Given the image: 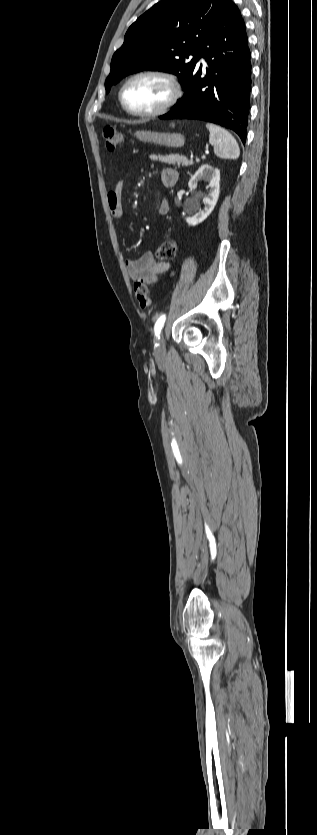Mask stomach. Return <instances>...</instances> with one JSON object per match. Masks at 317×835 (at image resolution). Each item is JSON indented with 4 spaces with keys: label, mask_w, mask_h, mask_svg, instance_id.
I'll use <instances>...</instances> for the list:
<instances>
[{
    "label": "stomach",
    "mask_w": 317,
    "mask_h": 835,
    "mask_svg": "<svg viewBox=\"0 0 317 835\" xmlns=\"http://www.w3.org/2000/svg\"><path fill=\"white\" fill-rule=\"evenodd\" d=\"M135 135L142 142L174 148L181 147L185 142V137L180 133L139 130L135 132Z\"/></svg>",
    "instance_id": "0dacf381"
}]
</instances>
